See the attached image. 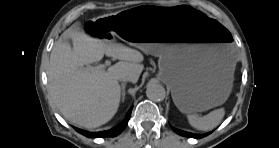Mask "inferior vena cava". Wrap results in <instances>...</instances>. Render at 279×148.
<instances>
[{
	"mask_svg": "<svg viewBox=\"0 0 279 148\" xmlns=\"http://www.w3.org/2000/svg\"><path fill=\"white\" fill-rule=\"evenodd\" d=\"M119 80H120V81H130V78H129V77H126V76H120V77H119Z\"/></svg>",
	"mask_w": 279,
	"mask_h": 148,
	"instance_id": "inferior-vena-cava-1",
	"label": "inferior vena cava"
}]
</instances>
